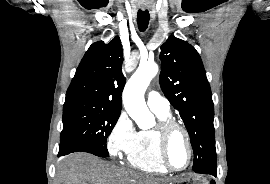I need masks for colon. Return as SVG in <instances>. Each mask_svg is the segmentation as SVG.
I'll use <instances>...</instances> for the list:
<instances>
[{"mask_svg":"<svg viewBox=\"0 0 270 184\" xmlns=\"http://www.w3.org/2000/svg\"><path fill=\"white\" fill-rule=\"evenodd\" d=\"M210 184H215L214 182H211Z\"/></svg>","mask_w":270,"mask_h":184,"instance_id":"obj_1","label":"colon"}]
</instances>
